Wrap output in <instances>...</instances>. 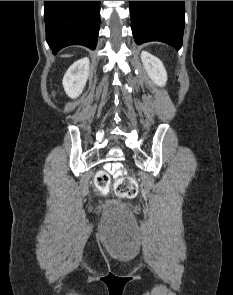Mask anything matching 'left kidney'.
Segmentation results:
<instances>
[{
  "instance_id": "left-kidney-1",
  "label": "left kidney",
  "mask_w": 233,
  "mask_h": 295,
  "mask_svg": "<svg viewBox=\"0 0 233 295\" xmlns=\"http://www.w3.org/2000/svg\"><path fill=\"white\" fill-rule=\"evenodd\" d=\"M141 60L148 76L158 86H164L167 81V72L161 60L149 52H141Z\"/></svg>"
}]
</instances>
